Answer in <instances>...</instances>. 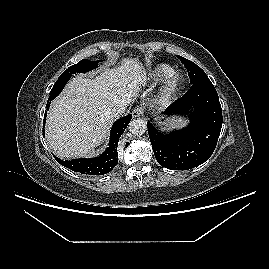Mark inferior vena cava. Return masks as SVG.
<instances>
[{
	"label": "inferior vena cava",
	"mask_w": 269,
	"mask_h": 269,
	"mask_svg": "<svg viewBox=\"0 0 269 269\" xmlns=\"http://www.w3.org/2000/svg\"><path fill=\"white\" fill-rule=\"evenodd\" d=\"M127 105L126 104H118L113 106L109 109V117L110 119L114 120L119 116L123 115L126 111Z\"/></svg>",
	"instance_id": "inferior-vena-cava-1"
}]
</instances>
